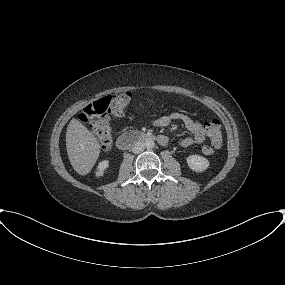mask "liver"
<instances>
[{
  "instance_id": "liver-1",
  "label": "liver",
  "mask_w": 285,
  "mask_h": 285,
  "mask_svg": "<svg viewBox=\"0 0 285 285\" xmlns=\"http://www.w3.org/2000/svg\"><path fill=\"white\" fill-rule=\"evenodd\" d=\"M66 148L73 169L80 175L92 170L100 153L96 137L76 118L67 127Z\"/></svg>"
}]
</instances>
